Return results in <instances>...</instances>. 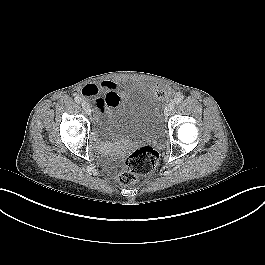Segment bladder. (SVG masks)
Instances as JSON below:
<instances>
[{
    "mask_svg": "<svg viewBox=\"0 0 265 265\" xmlns=\"http://www.w3.org/2000/svg\"><path fill=\"white\" fill-rule=\"evenodd\" d=\"M112 137L155 138L162 132L156 93L144 83L129 84L110 115Z\"/></svg>",
    "mask_w": 265,
    "mask_h": 265,
    "instance_id": "bladder-1",
    "label": "bladder"
}]
</instances>
